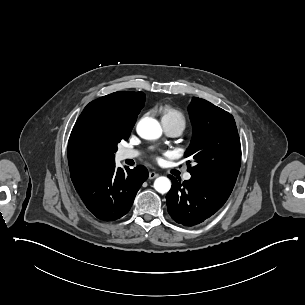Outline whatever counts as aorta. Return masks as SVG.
Instances as JSON below:
<instances>
[{"label":"aorta","instance_id":"1","mask_svg":"<svg viewBox=\"0 0 305 305\" xmlns=\"http://www.w3.org/2000/svg\"><path fill=\"white\" fill-rule=\"evenodd\" d=\"M138 135L146 140L158 139L162 134V128L156 119L145 117L139 121L136 127ZM154 188L157 192L165 194L171 189L169 178L161 176L154 181Z\"/></svg>","mask_w":305,"mask_h":305}]
</instances>
